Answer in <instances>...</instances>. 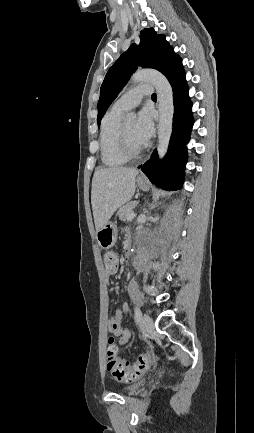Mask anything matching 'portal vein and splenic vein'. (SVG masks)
<instances>
[{
    "label": "portal vein and splenic vein",
    "mask_w": 254,
    "mask_h": 433,
    "mask_svg": "<svg viewBox=\"0 0 254 433\" xmlns=\"http://www.w3.org/2000/svg\"><path fill=\"white\" fill-rule=\"evenodd\" d=\"M135 216H136L135 213H131V214L128 216V220H132Z\"/></svg>",
    "instance_id": "1"
}]
</instances>
